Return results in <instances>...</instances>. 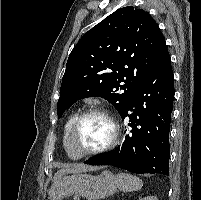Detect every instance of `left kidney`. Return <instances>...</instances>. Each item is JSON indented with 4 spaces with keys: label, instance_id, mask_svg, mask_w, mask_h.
<instances>
[{
    "label": "left kidney",
    "instance_id": "obj_1",
    "mask_svg": "<svg viewBox=\"0 0 201 200\" xmlns=\"http://www.w3.org/2000/svg\"><path fill=\"white\" fill-rule=\"evenodd\" d=\"M139 200H158V199H157V197L149 196V197H145V198H142V199H139Z\"/></svg>",
    "mask_w": 201,
    "mask_h": 200
}]
</instances>
